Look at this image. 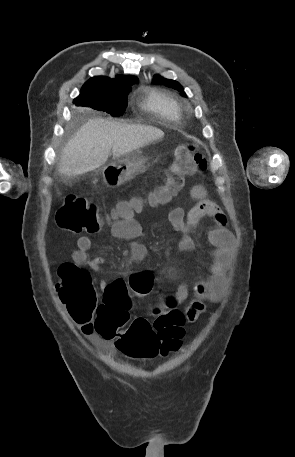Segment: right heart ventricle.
Instances as JSON below:
<instances>
[{"label": "right heart ventricle", "instance_id": "e07e8e85", "mask_svg": "<svg viewBox=\"0 0 295 457\" xmlns=\"http://www.w3.org/2000/svg\"><path fill=\"white\" fill-rule=\"evenodd\" d=\"M142 106L166 121H178L181 117V107L177 100L157 89H146L143 92Z\"/></svg>", "mask_w": 295, "mask_h": 457}]
</instances>
